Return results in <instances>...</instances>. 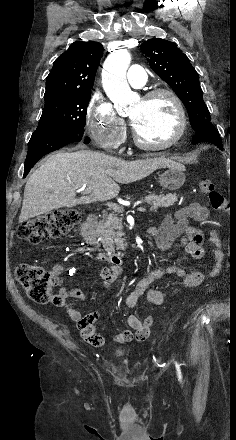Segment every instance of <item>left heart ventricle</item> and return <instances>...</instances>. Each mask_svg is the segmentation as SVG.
<instances>
[{"label": "left heart ventricle", "mask_w": 236, "mask_h": 440, "mask_svg": "<svg viewBox=\"0 0 236 440\" xmlns=\"http://www.w3.org/2000/svg\"><path fill=\"white\" fill-rule=\"evenodd\" d=\"M129 117L139 137L152 144L170 140L178 128L175 107L166 96L148 101L140 99L130 109Z\"/></svg>", "instance_id": "1"}]
</instances>
